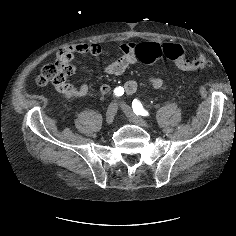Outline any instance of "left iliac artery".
<instances>
[{
	"instance_id": "obj_1",
	"label": "left iliac artery",
	"mask_w": 236,
	"mask_h": 236,
	"mask_svg": "<svg viewBox=\"0 0 236 236\" xmlns=\"http://www.w3.org/2000/svg\"><path fill=\"white\" fill-rule=\"evenodd\" d=\"M132 108L136 115L149 116L148 111H146L139 100L134 99L132 102Z\"/></svg>"
}]
</instances>
